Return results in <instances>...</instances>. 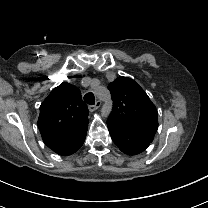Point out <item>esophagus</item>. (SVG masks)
Here are the masks:
<instances>
[{
  "label": "esophagus",
  "mask_w": 208,
  "mask_h": 208,
  "mask_svg": "<svg viewBox=\"0 0 208 208\" xmlns=\"http://www.w3.org/2000/svg\"><path fill=\"white\" fill-rule=\"evenodd\" d=\"M100 106H101V101L98 100V101L95 103V105H89V106H88V109H89L90 112H93V111L97 110Z\"/></svg>",
  "instance_id": "esophagus-1"
}]
</instances>
